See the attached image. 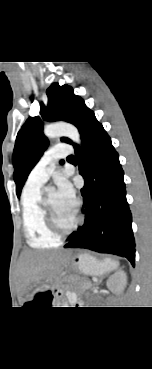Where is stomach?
<instances>
[{
	"label": "stomach",
	"mask_w": 152,
	"mask_h": 369,
	"mask_svg": "<svg viewBox=\"0 0 152 369\" xmlns=\"http://www.w3.org/2000/svg\"><path fill=\"white\" fill-rule=\"evenodd\" d=\"M76 260L74 259V264H76L79 270L86 275H103L115 269L118 265L117 262L108 258L99 261L89 254H80L77 256ZM45 289L46 286L42 281H35L29 285L27 295L34 296L37 292Z\"/></svg>",
	"instance_id": "0dacf381"
}]
</instances>
